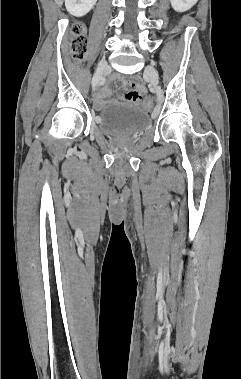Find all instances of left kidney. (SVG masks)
I'll return each mask as SVG.
<instances>
[{"label":"left kidney","instance_id":"left-kidney-1","mask_svg":"<svg viewBox=\"0 0 241 379\" xmlns=\"http://www.w3.org/2000/svg\"><path fill=\"white\" fill-rule=\"evenodd\" d=\"M198 0H170L173 9L177 12H185L193 7Z\"/></svg>","mask_w":241,"mask_h":379}]
</instances>
